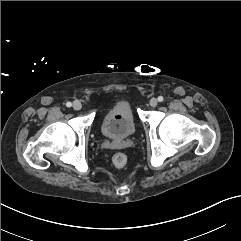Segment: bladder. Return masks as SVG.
<instances>
[{
    "instance_id": "1",
    "label": "bladder",
    "mask_w": 241,
    "mask_h": 241,
    "mask_svg": "<svg viewBox=\"0 0 241 241\" xmlns=\"http://www.w3.org/2000/svg\"><path fill=\"white\" fill-rule=\"evenodd\" d=\"M137 129L131 105L126 99L116 100L104 113L100 130L109 139H126Z\"/></svg>"
}]
</instances>
